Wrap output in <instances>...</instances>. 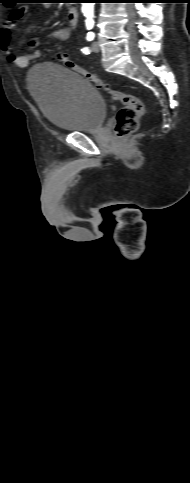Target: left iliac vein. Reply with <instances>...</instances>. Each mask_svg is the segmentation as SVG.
<instances>
[{
	"instance_id": "4c4485c4",
	"label": "left iliac vein",
	"mask_w": 190,
	"mask_h": 483,
	"mask_svg": "<svg viewBox=\"0 0 190 483\" xmlns=\"http://www.w3.org/2000/svg\"><path fill=\"white\" fill-rule=\"evenodd\" d=\"M91 48H92V50H93L94 52H99V51H100V46H99V43H98L97 41L93 42V44H92V47H91Z\"/></svg>"
}]
</instances>
